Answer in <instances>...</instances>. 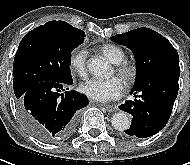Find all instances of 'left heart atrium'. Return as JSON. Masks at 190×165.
<instances>
[{"instance_id": "39dd6f15", "label": "left heart atrium", "mask_w": 190, "mask_h": 165, "mask_svg": "<svg viewBox=\"0 0 190 165\" xmlns=\"http://www.w3.org/2000/svg\"><path fill=\"white\" fill-rule=\"evenodd\" d=\"M80 91L92 100L106 102L120 97L124 91L121 79H90L80 86Z\"/></svg>"}]
</instances>
